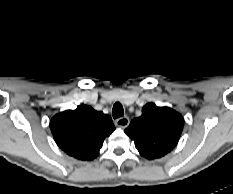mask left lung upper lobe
I'll return each mask as SVG.
<instances>
[{
    "mask_svg": "<svg viewBox=\"0 0 233 194\" xmlns=\"http://www.w3.org/2000/svg\"><path fill=\"white\" fill-rule=\"evenodd\" d=\"M182 129L183 118L178 112L148 103L142 108V115L131 121L125 133L143 157L155 159L176 146Z\"/></svg>",
    "mask_w": 233,
    "mask_h": 194,
    "instance_id": "left-lung-upper-lobe-1",
    "label": "left lung upper lobe"
}]
</instances>
